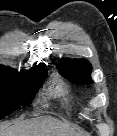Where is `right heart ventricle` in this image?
<instances>
[{"instance_id": "right-heart-ventricle-1", "label": "right heart ventricle", "mask_w": 117, "mask_h": 136, "mask_svg": "<svg viewBox=\"0 0 117 136\" xmlns=\"http://www.w3.org/2000/svg\"><path fill=\"white\" fill-rule=\"evenodd\" d=\"M50 94L58 99L61 103L67 101V92L66 89L61 84H56L50 90Z\"/></svg>"}]
</instances>
